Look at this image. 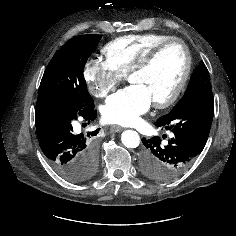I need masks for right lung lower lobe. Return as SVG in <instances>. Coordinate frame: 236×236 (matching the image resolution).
I'll return each mask as SVG.
<instances>
[{
  "instance_id": "1",
  "label": "right lung lower lobe",
  "mask_w": 236,
  "mask_h": 236,
  "mask_svg": "<svg viewBox=\"0 0 236 236\" xmlns=\"http://www.w3.org/2000/svg\"><path fill=\"white\" fill-rule=\"evenodd\" d=\"M83 118L88 123L95 120L97 112L94 105L75 110L67 105L41 101L36 103L35 123L41 150L53 168L66 180L81 182L83 166L94 157L97 158V137L95 131L76 134L74 120Z\"/></svg>"
}]
</instances>
